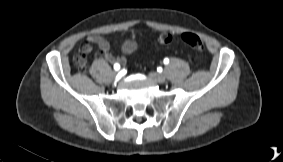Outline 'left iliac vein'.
I'll return each mask as SVG.
<instances>
[{
  "mask_svg": "<svg viewBox=\"0 0 283 162\" xmlns=\"http://www.w3.org/2000/svg\"><path fill=\"white\" fill-rule=\"evenodd\" d=\"M149 76L151 79L157 83H164L166 81V78L163 74L157 73V72H150Z\"/></svg>",
  "mask_w": 283,
  "mask_h": 162,
  "instance_id": "1",
  "label": "left iliac vein"
}]
</instances>
